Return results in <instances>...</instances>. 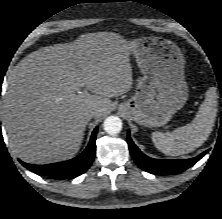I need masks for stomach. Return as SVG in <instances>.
Listing matches in <instances>:
<instances>
[{"instance_id": "obj_1", "label": "stomach", "mask_w": 222, "mask_h": 219, "mask_svg": "<svg viewBox=\"0 0 222 219\" xmlns=\"http://www.w3.org/2000/svg\"><path fill=\"white\" fill-rule=\"evenodd\" d=\"M130 42L128 51L134 55L143 77L135 95L121 103L119 109L140 125L163 126L188 99L184 56L175 43L162 37H142Z\"/></svg>"}]
</instances>
